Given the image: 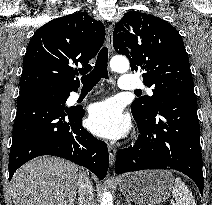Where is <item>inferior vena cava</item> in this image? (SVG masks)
Returning a JSON list of instances; mask_svg holds the SVG:
<instances>
[{
  "label": "inferior vena cava",
  "instance_id": "inferior-vena-cava-1",
  "mask_svg": "<svg viewBox=\"0 0 212 205\" xmlns=\"http://www.w3.org/2000/svg\"><path fill=\"white\" fill-rule=\"evenodd\" d=\"M78 188L79 205H95L93 187L84 172L79 174Z\"/></svg>",
  "mask_w": 212,
  "mask_h": 205
}]
</instances>
